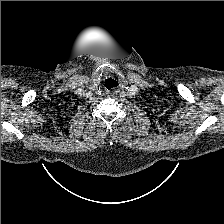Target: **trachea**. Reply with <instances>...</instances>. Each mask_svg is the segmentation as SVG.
I'll return each mask as SVG.
<instances>
[{
	"mask_svg": "<svg viewBox=\"0 0 224 224\" xmlns=\"http://www.w3.org/2000/svg\"><path fill=\"white\" fill-rule=\"evenodd\" d=\"M118 86V81L113 78H107L104 81V87L108 90H112L114 87Z\"/></svg>",
	"mask_w": 224,
	"mask_h": 224,
	"instance_id": "1",
	"label": "trachea"
}]
</instances>
